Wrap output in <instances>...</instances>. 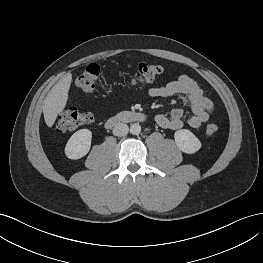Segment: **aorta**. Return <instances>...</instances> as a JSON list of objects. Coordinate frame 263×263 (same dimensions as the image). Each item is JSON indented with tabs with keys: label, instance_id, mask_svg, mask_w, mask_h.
Here are the masks:
<instances>
[{
	"label": "aorta",
	"instance_id": "762f6f07",
	"mask_svg": "<svg viewBox=\"0 0 263 263\" xmlns=\"http://www.w3.org/2000/svg\"><path fill=\"white\" fill-rule=\"evenodd\" d=\"M141 132V126L139 123H133L130 126V133L133 135H138Z\"/></svg>",
	"mask_w": 263,
	"mask_h": 263
}]
</instances>
